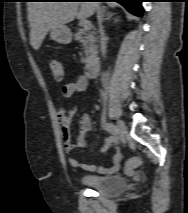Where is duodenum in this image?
Returning a JSON list of instances; mask_svg holds the SVG:
<instances>
[{
    "label": "duodenum",
    "mask_w": 188,
    "mask_h": 213,
    "mask_svg": "<svg viewBox=\"0 0 188 213\" xmlns=\"http://www.w3.org/2000/svg\"><path fill=\"white\" fill-rule=\"evenodd\" d=\"M100 71V61L96 58L91 59L86 64V77L89 79L96 78Z\"/></svg>",
    "instance_id": "duodenum-1"
}]
</instances>
